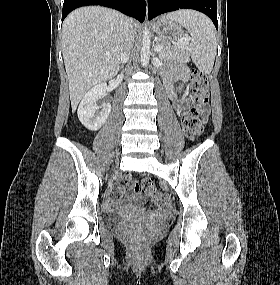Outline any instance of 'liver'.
Here are the masks:
<instances>
[{"label":"liver","instance_id":"6515ba94","mask_svg":"<svg viewBox=\"0 0 280 285\" xmlns=\"http://www.w3.org/2000/svg\"><path fill=\"white\" fill-rule=\"evenodd\" d=\"M127 23L139 29L137 21L97 6L76 9L64 20L62 52L73 112L90 88L117 75Z\"/></svg>","mask_w":280,"mask_h":285}]
</instances>
